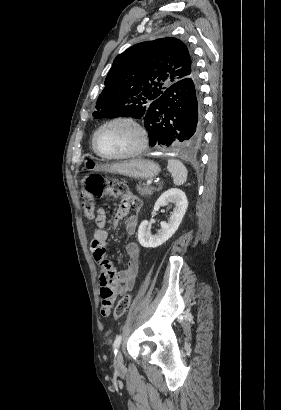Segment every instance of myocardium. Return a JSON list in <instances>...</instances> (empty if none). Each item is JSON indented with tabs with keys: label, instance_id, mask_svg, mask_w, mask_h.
I'll return each mask as SVG.
<instances>
[{
	"label": "myocardium",
	"instance_id": "f54148a6",
	"mask_svg": "<svg viewBox=\"0 0 281 410\" xmlns=\"http://www.w3.org/2000/svg\"><path fill=\"white\" fill-rule=\"evenodd\" d=\"M116 123H125L128 124L130 126H132L133 128H135V130L137 131L138 135H139V144L138 146L133 149L130 152H127L125 154H121V155H107L102 153L97 145V136L99 134V132L112 124H116ZM149 143V137H148V133L146 131V129L144 128V126L138 122L136 119L130 117V116H117L114 118H111L105 122H103L100 126L97 127V129L94 131L93 136H92V147L95 151V153L107 160H121V159H127V158H131V157H135L139 154H141L143 151H145V149L147 148Z\"/></svg>",
	"mask_w": 281,
	"mask_h": 410
}]
</instances>
